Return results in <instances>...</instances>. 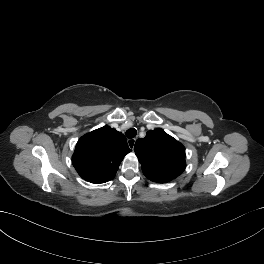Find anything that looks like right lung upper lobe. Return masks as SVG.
Here are the masks:
<instances>
[{
    "label": "right lung upper lobe",
    "instance_id": "1",
    "mask_svg": "<svg viewBox=\"0 0 264 264\" xmlns=\"http://www.w3.org/2000/svg\"><path fill=\"white\" fill-rule=\"evenodd\" d=\"M131 149L126 137L109 126L82 136L72 156L79 175L91 183H105L114 178L121 161Z\"/></svg>",
    "mask_w": 264,
    "mask_h": 264
}]
</instances>
